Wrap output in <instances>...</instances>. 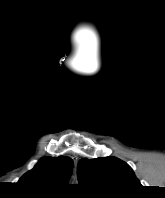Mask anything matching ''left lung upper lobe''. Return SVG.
Listing matches in <instances>:
<instances>
[{"label":"left lung upper lobe","instance_id":"left-lung-upper-lobe-1","mask_svg":"<svg viewBox=\"0 0 165 198\" xmlns=\"http://www.w3.org/2000/svg\"><path fill=\"white\" fill-rule=\"evenodd\" d=\"M77 175L80 185L107 198H132L142 186L127 163L111 156L81 159Z\"/></svg>","mask_w":165,"mask_h":198}]
</instances>
